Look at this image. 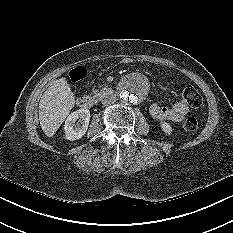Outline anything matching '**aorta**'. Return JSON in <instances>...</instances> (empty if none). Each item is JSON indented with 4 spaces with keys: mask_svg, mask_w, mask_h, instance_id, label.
I'll return each mask as SVG.
<instances>
[{
    "mask_svg": "<svg viewBox=\"0 0 233 233\" xmlns=\"http://www.w3.org/2000/svg\"><path fill=\"white\" fill-rule=\"evenodd\" d=\"M147 95V85L140 76L126 78L120 85V100L125 104H137Z\"/></svg>",
    "mask_w": 233,
    "mask_h": 233,
    "instance_id": "762f6f07",
    "label": "aorta"
}]
</instances>
